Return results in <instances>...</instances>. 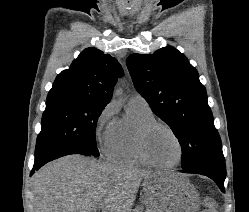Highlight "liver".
<instances>
[{
  "label": "liver",
  "mask_w": 249,
  "mask_h": 212,
  "mask_svg": "<svg viewBox=\"0 0 249 212\" xmlns=\"http://www.w3.org/2000/svg\"><path fill=\"white\" fill-rule=\"evenodd\" d=\"M174 172H144L130 166L102 164L94 158L65 156L43 166L32 178L34 212H132L138 188L148 178L150 190L166 188ZM152 206V204H151ZM204 212H215L205 204Z\"/></svg>",
  "instance_id": "liver-1"
}]
</instances>
